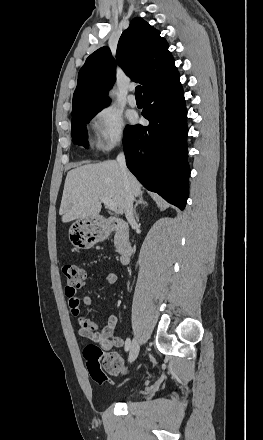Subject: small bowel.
<instances>
[{"mask_svg":"<svg viewBox=\"0 0 263 440\" xmlns=\"http://www.w3.org/2000/svg\"><path fill=\"white\" fill-rule=\"evenodd\" d=\"M103 281L107 285H113L117 281V275L114 272H107L103 276ZM86 282H83L78 287H66V295L69 300V307L73 316L78 321V333L81 337L89 339L93 342L99 343L104 350H110L112 348H119L123 345V339L114 336V332L117 326L118 318L112 314L107 319V324L102 329H99L98 324L89 317L81 314L80 307L90 306L92 304V297L89 293L85 294L82 298L78 296V290L85 288Z\"/></svg>","mask_w":263,"mask_h":440,"instance_id":"1","label":"small bowel"}]
</instances>
